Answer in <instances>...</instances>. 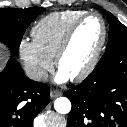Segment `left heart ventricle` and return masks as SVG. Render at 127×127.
<instances>
[{
	"instance_id": "b2bd125f",
	"label": "left heart ventricle",
	"mask_w": 127,
	"mask_h": 127,
	"mask_svg": "<svg viewBox=\"0 0 127 127\" xmlns=\"http://www.w3.org/2000/svg\"><path fill=\"white\" fill-rule=\"evenodd\" d=\"M102 37V24L99 18H87L77 29L68 51L63 57L60 70L68 76L80 72L90 61Z\"/></svg>"
}]
</instances>
